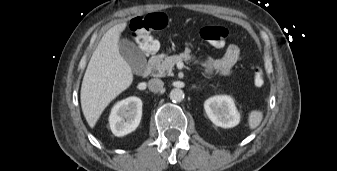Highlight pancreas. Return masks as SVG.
Segmentation results:
<instances>
[{
    "instance_id": "cf45deb5",
    "label": "pancreas",
    "mask_w": 337,
    "mask_h": 171,
    "mask_svg": "<svg viewBox=\"0 0 337 171\" xmlns=\"http://www.w3.org/2000/svg\"><path fill=\"white\" fill-rule=\"evenodd\" d=\"M191 60H195V56L191 55L189 52L172 56L159 55L153 62V72L157 77L170 76L172 75V69L175 64L181 61L189 62ZM195 63H198V61L195 60Z\"/></svg>"
}]
</instances>
